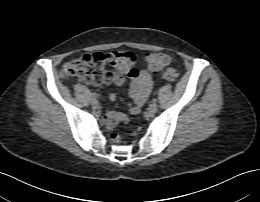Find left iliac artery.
Segmentation results:
<instances>
[{
  "instance_id": "44dca946",
  "label": "left iliac artery",
  "mask_w": 260,
  "mask_h": 202,
  "mask_svg": "<svg viewBox=\"0 0 260 202\" xmlns=\"http://www.w3.org/2000/svg\"><path fill=\"white\" fill-rule=\"evenodd\" d=\"M152 102H153V103H156V102H157V99H156V98H153V99H152Z\"/></svg>"
}]
</instances>
